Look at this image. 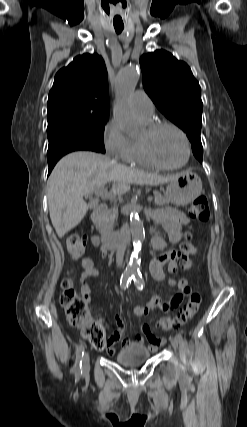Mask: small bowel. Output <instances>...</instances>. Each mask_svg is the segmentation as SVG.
I'll return each mask as SVG.
<instances>
[{
  "instance_id": "obj_1",
  "label": "small bowel",
  "mask_w": 247,
  "mask_h": 427,
  "mask_svg": "<svg viewBox=\"0 0 247 427\" xmlns=\"http://www.w3.org/2000/svg\"><path fill=\"white\" fill-rule=\"evenodd\" d=\"M154 222L163 227L168 235V242L176 244L181 241L183 237V228L190 222L189 218L182 212L173 209H159L152 213ZM94 247H99L100 243L96 236L91 240ZM152 246L157 251H162L167 247V241L159 235H154L152 238ZM107 255L106 249H102L101 256L105 258ZM179 253L176 251H167L157 256L150 265V271L153 278L157 281L164 282L169 286L176 287L178 292L170 302L163 301L160 297L154 296L146 304L138 305L134 308V313L137 316H146L150 312H168L171 308L178 307L184 297L190 293L188 282L185 279L176 280L174 278H166L164 273V266H167L171 274H175L178 270L177 261L179 260ZM83 272L80 278L81 293L84 299L89 303L91 301V279L98 276V270L95 267L94 259L86 257L82 260ZM92 320L99 322L104 327L103 319ZM116 330L113 332L108 340L106 351L109 354H114L118 342H122L124 346L144 345L145 339L149 342V349L152 352L157 351L164 343L165 338L156 336L148 324H142L140 333L135 336V340H130L124 337L125 323L121 316L115 318Z\"/></svg>"
}]
</instances>
